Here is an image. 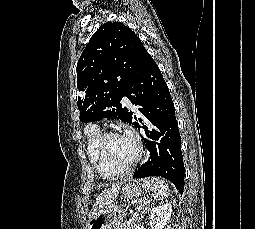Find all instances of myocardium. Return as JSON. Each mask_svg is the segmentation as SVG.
Returning <instances> with one entry per match:
<instances>
[{
	"label": "myocardium",
	"instance_id": "obj_1",
	"mask_svg": "<svg viewBox=\"0 0 255 229\" xmlns=\"http://www.w3.org/2000/svg\"><path fill=\"white\" fill-rule=\"evenodd\" d=\"M121 135L122 134L117 131H108V132L102 133L96 143V151H97L98 155L101 157V159L104 162H106V164L109 167H111L114 170L120 171L122 173L124 171L130 170L138 163V161L140 160L141 155H142V144L138 139H134L136 148H137L134 158L127 163H122V164L115 163L107 156V154L105 152V144L110 138H113L116 136H121Z\"/></svg>",
	"mask_w": 255,
	"mask_h": 229
}]
</instances>
